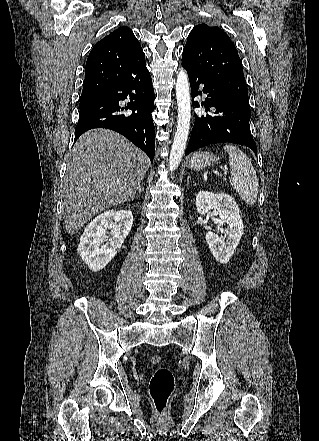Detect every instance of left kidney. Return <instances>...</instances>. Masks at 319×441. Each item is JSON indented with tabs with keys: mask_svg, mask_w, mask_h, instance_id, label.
Instances as JSON below:
<instances>
[{
	"mask_svg": "<svg viewBox=\"0 0 319 441\" xmlns=\"http://www.w3.org/2000/svg\"><path fill=\"white\" fill-rule=\"evenodd\" d=\"M196 207L197 212L202 215L209 210H216L220 218L218 224L227 226L222 229L224 237L209 231L205 238L215 259L221 264L228 263L244 233V225L236 201L227 194L202 191L196 197Z\"/></svg>",
	"mask_w": 319,
	"mask_h": 441,
	"instance_id": "1",
	"label": "left kidney"
}]
</instances>
